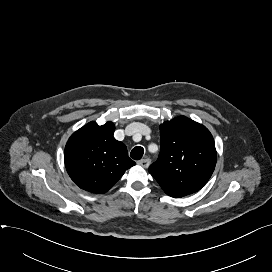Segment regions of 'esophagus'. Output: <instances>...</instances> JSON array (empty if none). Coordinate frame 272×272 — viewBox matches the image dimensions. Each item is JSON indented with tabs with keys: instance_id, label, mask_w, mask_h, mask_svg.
<instances>
[{
	"instance_id": "34e87169",
	"label": "esophagus",
	"mask_w": 272,
	"mask_h": 272,
	"mask_svg": "<svg viewBox=\"0 0 272 272\" xmlns=\"http://www.w3.org/2000/svg\"><path fill=\"white\" fill-rule=\"evenodd\" d=\"M150 163H151V161H150L149 158H144V159L137 162L138 165H140V166H142L144 168H148Z\"/></svg>"
}]
</instances>
